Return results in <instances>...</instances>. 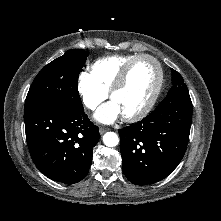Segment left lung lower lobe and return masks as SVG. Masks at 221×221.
Listing matches in <instances>:
<instances>
[{
  "label": "left lung lower lobe",
  "instance_id": "obj_1",
  "mask_svg": "<svg viewBox=\"0 0 221 221\" xmlns=\"http://www.w3.org/2000/svg\"><path fill=\"white\" fill-rule=\"evenodd\" d=\"M192 121L189 92H168L141 121L120 129L122 171L136 185L156 183L180 163Z\"/></svg>",
  "mask_w": 221,
  "mask_h": 221
}]
</instances>
